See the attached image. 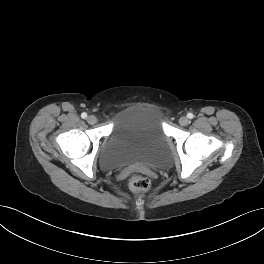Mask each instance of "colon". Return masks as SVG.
I'll return each instance as SVG.
<instances>
[{
  "instance_id": "5ec220e1",
  "label": "colon",
  "mask_w": 264,
  "mask_h": 264,
  "mask_svg": "<svg viewBox=\"0 0 264 264\" xmlns=\"http://www.w3.org/2000/svg\"><path fill=\"white\" fill-rule=\"evenodd\" d=\"M129 183L131 188L136 191H147L150 188V181L146 177L137 173L130 177Z\"/></svg>"
}]
</instances>
